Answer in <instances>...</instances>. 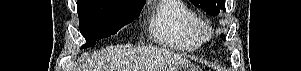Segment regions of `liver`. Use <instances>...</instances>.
<instances>
[{
	"label": "liver",
	"instance_id": "obj_1",
	"mask_svg": "<svg viewBox=\"0 0 301 71\" xmlns=\"http://www.w3.org/2000/svg\"><path fill=\"white\" fill-rule=\"evenodd\" d=\"M77 71H175L188 64L185 58L154 47H109L81 57Z\"/></svg>",
	"mask_w": 301,
	"mask_h": 71
}]
</instances>
